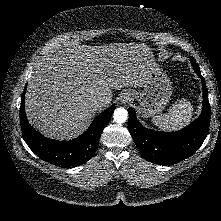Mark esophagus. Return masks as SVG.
Instances as JSON below:
<instances>
[{
    "instance_id": "esophagus-1",
    "label": "esophagus",
    "mask_w": 221,
    "mask_h": 221,
    "mask_svg": "<svg viewBox=\"0 0 221 221\" xmlns=\"http://www.w3.org/2000/svg\"><path fill=\"white\" fill-rule=\"evenodd\" d=\"M130 96L131 95L129 93H124L120 98V102L122 104H126L130 100Z\"/></svg>"
}]
</instances>
